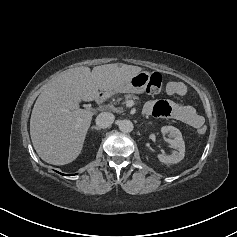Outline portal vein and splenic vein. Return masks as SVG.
<instances>
[{"label":"portal vein and splenic vein","instance_id":"obj_1","mask_svg":"<svg viewBox=\"0 0 237 237\" xmlns=\"http://www.w3.org/2000/svg\"><path fill=\"white\" fill-rule=\"evenodd\" d=\"M134 105V102L132 100L127 101L126 106L132 107Z\"/></svg>","mask_w":237,"mask_h":237}]
</instances>
